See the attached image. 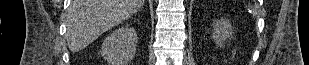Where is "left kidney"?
<instances>
[{
    "label": "left kidney",
    "instance_id": "obj_1",
    "mask_svg": "<svg viewBox=\"0 0 309 65\" xmlns=\"http://www.w3.org/2000/svg\"><path fill=\"white\" fill-rule=\"evenodd\" d=\"M213 34L212 39L214 42L221 46L227 38H230L232 25L229 21L220 19L213 22Z\"/></svg>",
    "mask_w": 309,
    "mask_h": 65
}]
</instances>
